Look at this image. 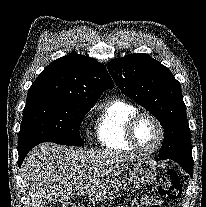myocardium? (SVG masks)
Here are the masks:
<instances>
[{"mask_svg": "<svg viewBox=\"0 0 206 207\" xmlns=\"http://www.w3.org/2000/svg\"><path fill=\"white\" fill-rule=\"evenodd\" d=\"M142 118H149V119L153 120L159 129L160 136H159L158 143L153 149H150V150L141 149L138 146L136 139H135V128H136L137 123ZM165 138H166V132H165V127H164L163 123L161 122V120L157 116H155L152 113L137 112L126 123V126H125L126 142L133 151H135L136 153H138L140 155L149 156V155L155 154L163 146V144L165 142Z\"/></svg>", "mask_w": 206, "mask_h": 207, "instance_id": "myocardium-1", "label": "myocardium"}]
</instances>
